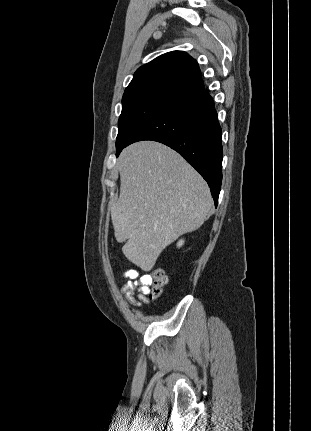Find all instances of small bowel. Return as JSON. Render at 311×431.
I'll list each match as a JSON object with an SVG mask.
<instances>
[{
    "label": "small bowel",
    "mask_w": 311,
    "mask_h": 431,
    "mask_svg": "<svg viewBox=\"0 0 311 431\" xmlns=\"http://www.w3.org/2000/svg\"><path fill=\"white\" fill-rule=\"evenodd\" d=\"M121 277L128 279V282L121 289L127 301L135 307H143L147 304L150 294L149 275H140L138 271L130 269L123 272Z\"/></svg>",
    "instance_id": "c3829d8e"
}]
</instances>
